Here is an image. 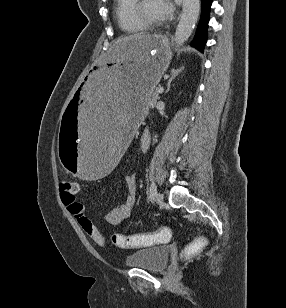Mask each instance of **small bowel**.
<instances>
[{
  "label": "small bowel",
  "instance_id": "1",
  "mask_svg": "<svg viewBox=\"0 0 286 308\" xmlns=\"http://www.w3.org/2000/svg\"><path fill=\"white\" fill-rule=\"evenodd\" d=\"M149 145V140L142 138L140 146L142 150H146ZM126 186L128 188V195L121 205L110 210L106 215V221L114 226L121 225L122 222L130 217L135 204H136V176L135 174H128L124 178ZM63 203L68 206L69 212L76 219L82 230L99 246L105 245L104 236L99 232L97 227L93 224L91 219L85 212V207L75 200V197H62Z\"/></svg>",
  "mask_w": 286,
  "mask_h": 308
}]
</instances>
